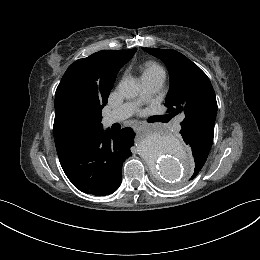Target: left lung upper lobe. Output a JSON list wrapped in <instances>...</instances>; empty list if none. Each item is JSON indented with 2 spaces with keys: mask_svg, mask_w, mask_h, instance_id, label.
Instances as JSON below:
<instances>
[{
  "mask_svg": "<svg viewBox=\"0 0 260 260\" xmlns=\"http://www.w3.org/2000/svg\"><path fill=\"white\" fill-rule=\"evenodd\" d=\"M144 50L161 59L170 73V89L165 105L168 113L184 114L181 130L189 131L212 145L217 114L215 92L207 75L183 54L170 49ZM194 157V156H193ZM207 158L195 159V170L203 167Z\"/></svg>",
  "mask_w": 260,
  "mask_h": 260,
  "instance_id": "left-lung-upper-lobe-1",
  "label": "left lung upper lobe"
}]
</instances>
